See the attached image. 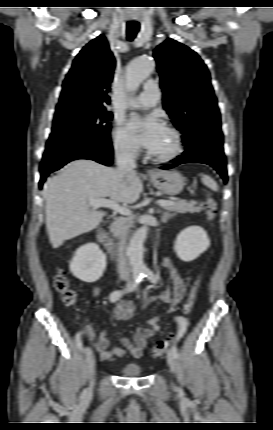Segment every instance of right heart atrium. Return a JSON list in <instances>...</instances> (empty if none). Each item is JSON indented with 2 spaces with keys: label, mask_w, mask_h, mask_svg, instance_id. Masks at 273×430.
<instances>
[{
  "label": "right heart atrium",
  "mask_w": 273,
  "mask_h": 430,
  "mask_svg": "<svg viewBox=\"0 0 273 430\" xmlns=\"http://www.w3.org/2000/svg\"><path fill=\"white\" fill-rule=\"evenodd\" d=\"M113 147L118 155L126 158H133L139 152V147L121 125H116L113 130Z\"/></svg>",
  "instance_id": "obj_1"
}]
</instances>
